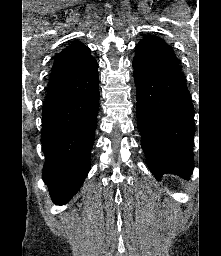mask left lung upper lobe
Returning a JSON list of instances; mask_svg holds the SVG:
<instances>
[{
	"mask_svg": "<svg viewBox=\"0 0 221 256\" xmlns=\"http://www.w3.org/2000/svg\"><path fill=\"white\" fill-rule=\"evenodd\" d=\"M133 67L140 73L182 74L171 47L161 38L145 36L135 47Z\"/></svg>",
	"mask_w": 221,
	"mask_h": 256,
	"instance_id": "5c2ea615",
	"label": "left lung upper lobe"
}]
</instances>
